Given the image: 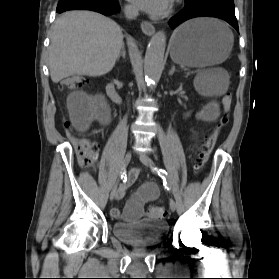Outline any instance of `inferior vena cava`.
<instances>
[{
  "label": "inferior vena cava",
  "mask_w": 279,
  "mask_h": 279,
  "mask_svg": "<svg viewBox=\"0 0 279 279\" xmlns=\"http://www.w3.org/2000/svg\"><path fill=\"white\" fill-rule=\"evenodd\" d=\"M124 14L127 19L132 20V19H135L139 15V11L136 7L128 5V6H125Z\"/></svg>",
  "instance_id": "inferior-vena-cava-1"
}]
</instances>
